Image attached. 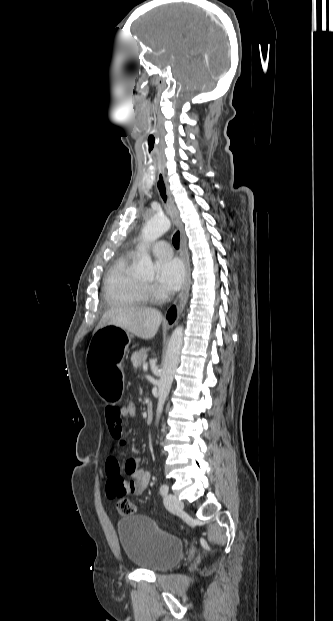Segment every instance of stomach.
<instances>
[{"instance_id":"obj_1","label":"stomach","mask_w":333,"mask_h":621,"mask_svg":"<svg viewBox=\"0 0 333 621\" xmlns=\"http://www.w3.org/2000/svg\"><path fill=\"white\" fill-rule=\"evenodd\" d=\"M131 339L129 332L113 325L97 330L91 339L86 364L94 391L102 396L106 404H115L125 390L121 351L128 346Z\"/></svg>"}]
</instances>
